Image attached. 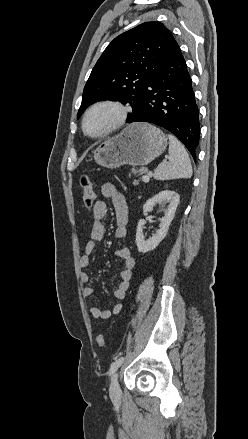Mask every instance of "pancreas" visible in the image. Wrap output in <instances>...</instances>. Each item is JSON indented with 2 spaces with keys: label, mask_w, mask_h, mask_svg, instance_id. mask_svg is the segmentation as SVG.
Wrapping results in <instances>:
<instances>
[{
  "label": "pancreas",
  "mask_w": 248,
  "mask_h": 439,
  "mask_svg": "<svg viewBox=\"0 0 248 439\" xmlns=\"http://www.w3.org/2000/svg\"><path fill=\"white\" fill-rule=\"evenodd\" d=\"M135 176H141L145 173V169L144 168H140V169H132L131 171ZM143 178V177H142ZM139 183V180H134L133 184L137 185Z\"/></svg>",
  "instance_id": "pancreas-1"
}]
</instances>
